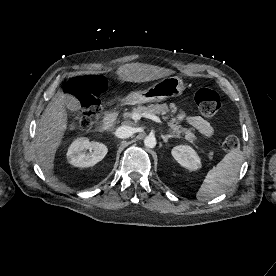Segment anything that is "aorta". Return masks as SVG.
<instances>
[{"label": "aorta", "instance_id": "aorta-1", "mask_svg": "<svg viewBox=\"0 0 276 276\" xmlns=\"http://www.w3.org/2000/svg\"><path fill=\"white\" fill-rule=\"evenodd\" d=\"M156 138L153 135H149L144 139V145L147 148H154L156 146Z\"/></svg>", "mask_w": 276, "mask_h": 276}]
</instances>
